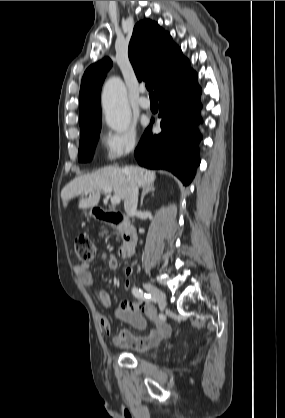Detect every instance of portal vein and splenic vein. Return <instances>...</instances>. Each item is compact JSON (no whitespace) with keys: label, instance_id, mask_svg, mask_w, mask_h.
I'll return each instance as SVG.
<instances>
[{"label":"portal vein and splenic vein","instance_id":"obj_1","mask_svg":"<svg viewBox=\"0 0 285 418\" xmlns=\"http://www.w3.org/2000/svg\"><path fill=\"white\" fill-rule=\"evenodd\" d=\"M103 192L106 193V194H111L112 193V188L105 187V188H103ZM120 201H121V198L119 196L114 195L113 197H111V204L112 205H117V204L120 203Z\"/></svg>","mask_w":285,"mask_h":418}]
</instances>
